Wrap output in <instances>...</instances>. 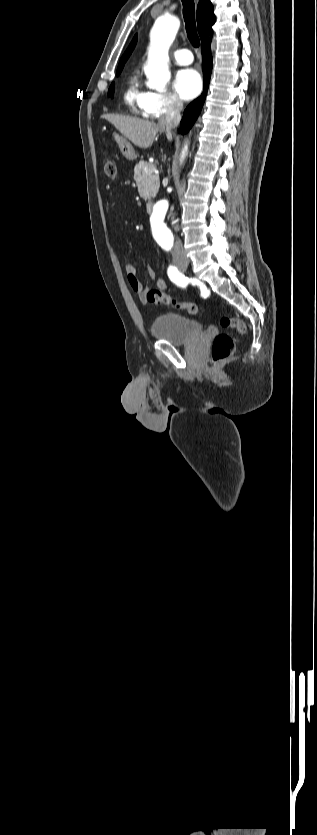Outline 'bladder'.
I'll return each mask as SVG.
<instances>
[{"mask_svg":"<svg viewBox=\"0 0 317 835\" xmlns=\"http://www.w3.org/2000/svg\"><path fill=\"white\" fill-rule=\"evenodd\" d=\"M154 337L163 339L175 346H183L200 339L204 334L203 325L186 316L169 313L157 317L151 326Z\"/></svg>","mask_w":317,"mask_h":835,"instance_id":"obj_1","label":"bladder"}]
</instances>
